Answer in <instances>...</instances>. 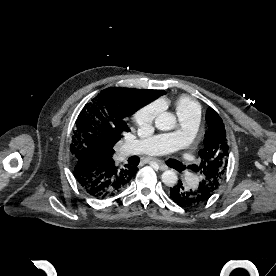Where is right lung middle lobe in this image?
<instances>
[{"label":"right lung middle lobe","mask_w":276,"mask_h":276,"mask_svg":"<svg viewBox=\"0 0 276 276\" xmlns=\"http://www.w3.org/2000/svg\"><path fill=\"white\" fill-rule=\"evenodd\" d=\"M135 109L134 105L105 90L90 100L76 120L70 146L72 162L78 155H96L115 145L124 132L130 131L125 118Z\"/></svg>","instance_id":"obj_1"}]
</instances>
